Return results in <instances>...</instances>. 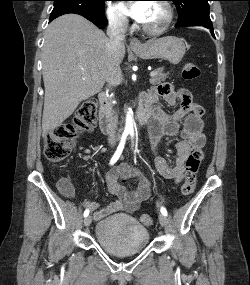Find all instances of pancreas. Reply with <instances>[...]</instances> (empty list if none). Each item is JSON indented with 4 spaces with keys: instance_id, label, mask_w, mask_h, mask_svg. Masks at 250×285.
Listing matches in <instances>:
<instances>
[{
    "instance_id": "cf45deb5",
    "label": "pancreas",
    "mask_w": 250,
    "mask_h": 285,
    "mask_svg": "<svg viewBox=\"0 0 250 285\" xmlns=\"http://www.w3.org/2000/svg\"><path fill=\"white\" fill-rule=\"evenodd\" d=\"M157 75L150 78L149 82L152 85L160 84L162 81H165L168 78L169 73H164L163 69L159 68L155 70Z\"/></svg>"
}]
</instances>
